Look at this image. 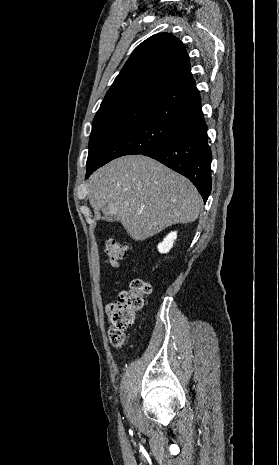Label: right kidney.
Instances as JSON below:
<instances>
[{
    "mask_svg": "<svg viewBox=\"0 0 279 465\" xmlns=\"http://www.w3.org/2000/svg\"><path fill=\"white\" fill-rule=\"evenodd\" d=\"M177 238V232H170L162 242L158 244V251L160 253H168L170 249L173 247V243Z\"/></svg>",
    "mask_w": 279,
    "mask_h": 465,
    "instance_id": "right-kidney-1",
    "label": "right kidney"
}]
</instances>
